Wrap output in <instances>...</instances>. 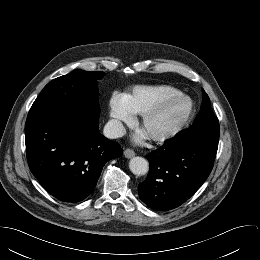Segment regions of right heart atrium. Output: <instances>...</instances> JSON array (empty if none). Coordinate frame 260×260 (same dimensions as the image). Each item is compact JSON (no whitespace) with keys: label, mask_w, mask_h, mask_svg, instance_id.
I'll return each mask as SVG.
<instances>
[{"label":"right heart atrium","mask_w":260,"mask_h":260,"mask_svg":"<svg viewBox=\"0 0 260 260\" xmlns=\"http://www.w3.org/2000/svg\"><path fill=\"white\" fill-rule=\"evenodd\" d=\"M110 122L109 130L115 136H120L124 131V125L133 121V113L129 109L124 95L114 93L109 101Z\"/></svg>","instance_id":"right-heart-atrium-1"}]
</instances>
